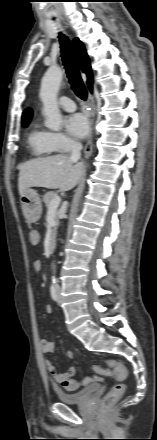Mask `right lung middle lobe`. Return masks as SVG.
Returning <instances> with one entry per match:
<instances>
[{
  "label": "right lung middle lobe",
  "instance_id": "right-lung-middle-lobe-1",
  "mask_svg": "<svg viewBox=\"0 0 157 440\" xmlns=\"http://www.w3.org/2000/svg\"><path fill=\"white\" fill-rule=\"evenodd\" d=\"M25 126H27L28 122L23 123Z\"/></svg>",
  "mask_w": 157,
  "mask_h": 440
}]
</instances>
